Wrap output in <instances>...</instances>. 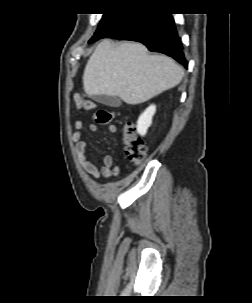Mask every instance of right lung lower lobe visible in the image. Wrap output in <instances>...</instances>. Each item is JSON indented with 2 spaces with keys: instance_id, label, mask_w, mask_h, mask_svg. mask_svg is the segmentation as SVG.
<instances>
[{
  "instance_id": "1",
  "label": "right lung lower lobe",
  "mask_w": 252,
  "mask_h": 303,
  "mask_svg": "<svg viewBox=\"0 0 252 303\" xmlns=\"http://www.w3.org/2000/svg\"><path fill=\"white\" fill-rule=\"evenodd\" d=\"M106 37L141 42L150 51L166 54L188 68L182 43L170 14L157 12L122 14L104 35L92 42Z\"/></svg>"
}]
</instances>
